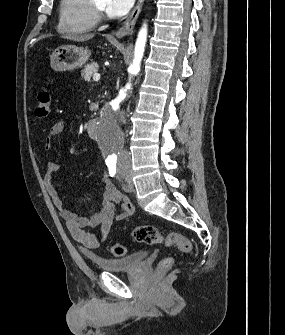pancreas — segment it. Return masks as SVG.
<instances>
[{
	"label": "pancreas",
	"mask_w": 285,
	"mask_h": 335,
	"mask_svg": "<svg viewBox=\"0 0 285 335\" xmlns=\"http://www.w3.org/2000/svg\"><path fill=\"white\" fill-rule=\"evenodd\" d=\"M98 72V64H89V66H85L84 70L80 71V78H85L86 84L92 83V77L94 74Z\"/></svg>",
	"instance_id": "1"
}]
</instances>
